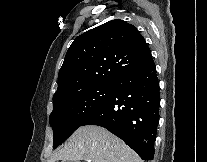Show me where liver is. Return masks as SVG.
<instances>
[{
	"mask_svg": "<svg viewBox=\"0 0 207 162\" xmlns=\"http://www.w3.org/2000/svg\"><path fill=\"white\" fill-rule=\"evenodd\" d=\"M143 162L124 141L97 125L79 127L48 162Z\"/></svg>",
	"mask_w": 207,
	"mask_h": 162,
	"instance_id": "1",
	"label": "liver"
}]
</instances>
